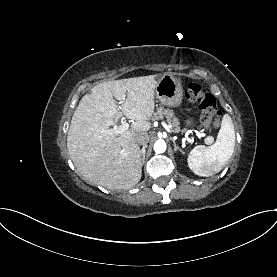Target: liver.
<instances>
[{
    "instance_id": "liver-1",
    "label": "liver",
    "mask_w": 277,
    "mask_h": 277,
    "mask_svg": "<svg viewBox=\"0 0 277 277\" xmlns=\"http://www.w3.org/2000/svg\"><path fill=\"white\" fill-rule=\"evenodd\" d=\"M155 77L100 83L80 100L68 130L67 149L77 170L90 182L119 190L130 189L140 181L141 153L134 136L151 128L158 83ZM113 98L121 101V110ZM122 115L133 123L117 136L109 127Z\"/></svg>"
}]
</instances>
